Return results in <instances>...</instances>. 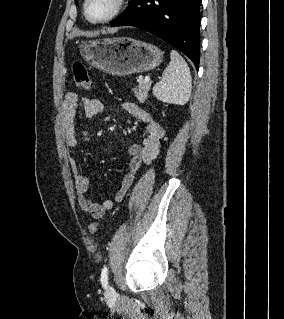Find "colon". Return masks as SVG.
<instances>
[{"label":"colon","instance_id":"1","mask_svg":"<svg viewBox=\"0 0 284 319\" xmlns=\"http://www.w3.org/2000/svg\"><path fill=\"white\" fill-rule=\"evenodd\" d=\"M73 83L75 87L81 90H90L92 82L89 77L87 68L81 62H75L72 66ZM99 224L93 222L89 225L88 229L91 234H94L98 230Z\"/></svg>","mask_w":284,"mask_h":319}]
</instances>
